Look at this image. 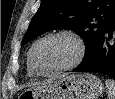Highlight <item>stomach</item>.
Instances as JSON below:
<instances>
[{
	"label": "stomach",
	"instance_id": "1",
	"mask_svg": "<svg viewBox=\"0 0 115 99\" xmlns=\"http://www.w3.org/2000/svg\"><path fill=\"white\" fill-rule=\"evenodd\" d=\"M104 90L101 80L89 73L64 76L52 84L25 90L23 99H98Z\"/></svg>",
	"mask_w": 115,
	"mask_h": 99
}]
</instances>
